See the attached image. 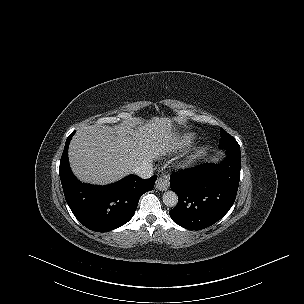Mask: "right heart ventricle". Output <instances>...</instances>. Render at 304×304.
Masks as SVG:
<instances>
[{"label":"right heart ventricle","instance_id":"obj_1","mask_svg":"<svg viewBox=\"0 0 304 304\" xmlns=\"http://www.w3.org/2000/svg\"><path fill=\"white\" fill-rule=\"evenodd\" d=\"M193 138L194 137L191 134H185V135L179 136L176 140V145H175L174 149L182 150V149L188 147L192 143Z\"/></svg>","mask_w":304,"mask_h":304}]
</instances>
